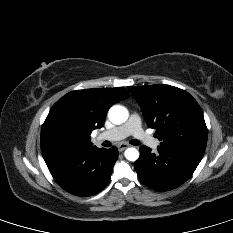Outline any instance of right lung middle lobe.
Returning a JSON list of instances; mask_svg holds the SVG:
<instances>
[{
    "label": "right lung middle lobe",
    "mask_w": 233,
    "mask_h": 233,
    "mask_svg": "<svg viewBox=\"0 0 233 233\" xmlns=\"http://www.w3.org/2000/svg\"><path fill=\"white\" fill-rule=\"evenodd\" d=\"M77 141L76 131L62 122L44 123L41 130V150L73 149Z\"/></svg>",
    "instance_id": "dd1d6c3e"
}]
</instances>
